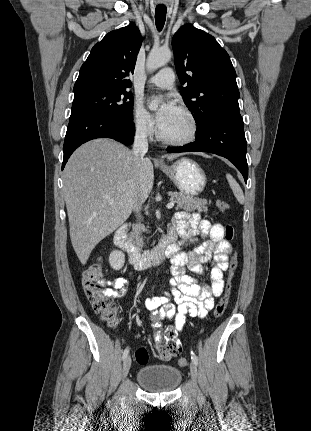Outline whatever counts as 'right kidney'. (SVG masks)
<instances>
[{
    "instance_id": "ca27d5eb",
    "label": "right kidney",
    "mask_w": 311,
    "mask_h": 431,
    "mask_svg": "<svg viewBox=\"0 0 311 431\" xmlns=\"http://www.w3.org/2000/svg\"><path fill=\"white\" fill-rule=\"evenodd\" d=\"M109 263L113 269H121L125 263V253L119 249H114L109 255Z\"/></svg>"
}]
</instances>
